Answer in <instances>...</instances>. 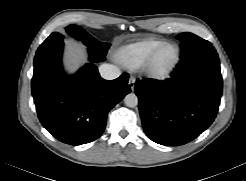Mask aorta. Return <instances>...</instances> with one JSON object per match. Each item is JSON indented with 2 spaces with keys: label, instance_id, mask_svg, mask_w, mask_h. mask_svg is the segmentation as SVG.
<instances>
[{
  "label": "aorta",
  "instance_id": "762f6f07",
  "mask_svg": "<svg viewBox=\"0 0 246 181\" xmlns=\"http://www.w3.org/2000/svg\"><path fill=\"white\" fill-rule=\"evenodd\" d=\"M124 103L127 107L133 108L138 105V97L134 93H129L124 98Z\"/></svg>",
  "mask_w": 246,
  "mask_h": 181
}]
</instances>
